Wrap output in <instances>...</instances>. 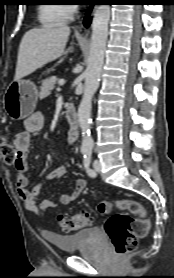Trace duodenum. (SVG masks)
<instances>
[{
	"instance_id": "410a0bca",
	"label": "duodenum",
	"mask_w": 174,
	"mask_h": 278,
	"mask_svg": "<svg viewBox=\"0 0 174 278\" xmlns=\"http://www.w3.org/2000/svg\"><path fill=\"white\" fill-rule=\"evenodd\" d=\"M64 114L69 126V139L74 141L77 138L79 132V123L76 110L71 104H67L64 108Z\"/></svg>"
}]
</instances>
